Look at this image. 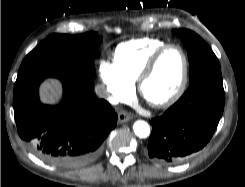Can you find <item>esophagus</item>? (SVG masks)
I'll list each match as a JSON object with an SVG mask.
<instances>
[{
    "mask_svg": "<svg viewBox=\"0 0 245 187\" xmlns=\"http://www.w3.org/2000/svg\"><path fill=\"white\" fill-rule=\"evenodd\" d=\"M131 119H132L131 114H129L127 112L122 111L118 114L119 123H125V122L130 121Z\"/></svg>",
    "mask_w": 245,
    "mask_h": 187,
    "instance_id": "obj_1",
    "label": "esophagus"
}]
</instances>
